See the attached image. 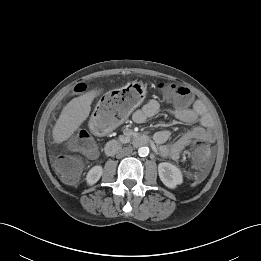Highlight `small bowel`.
Returning <instances> with one entry per match:
<instances>
[{"label": "small bowel", "mask_w": 261, "mask_h": 261, "mask_svg": "<svg viewBox=\"0 0 261 261\" xmlns=\"http://www.w3.org/2000/svg\"><path fill=\"white\" fill-rule=\"evenodd\" d=\"M159 108V102L151 99L133 114V121L139 124L144 123L149 118L154 117L158 113ZM174 115L182 122L195 124L201 121V124L187 129L171 143H168L170 138L168 130H161L155 133L154 141L159 145V152L162 156L177 160L183 150L190 144L197 141H214L215 131L213 123L210 117L204 114V105L202 102L196 101L191 108L177 109L174 111Z\"/></svg>", "instance_id": "c3829d8e"}]
</instances>
